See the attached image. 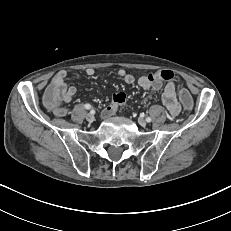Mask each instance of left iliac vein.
Masks as SVG:
<instances>
[{"label":"left iliac vein","instance_id":"4c4485c4","mask_svg":"<svg viewBox=\"0 0 231 231\" xmlns=\"http://www.w3.org/2000/svg\"><path fill=\"white\" fill-rule=\"evenodd\" d=\"M138 123L142 126L145 127L147 125V122L144 118H139Z\"/></svg>","mask_w":231,"mask_h":231}]
</instances>
